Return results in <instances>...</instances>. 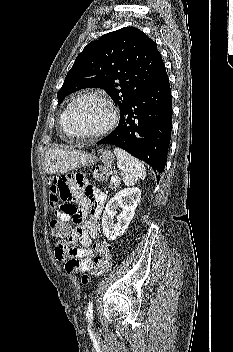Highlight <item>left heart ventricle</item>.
<instances>
[{
    "instance_id": "obj_1",
    "label": "left heart ventricle",
    "mask_w": 233,
    "mask_h": 352,
    "mask_svg": "<svg viewBox=\"0 0 233 352\" xmlns=\"http://www.w3.org/2000/svg\"><path fill=\"white\" fill-rule=\"evenodd\" d=\"M109 119V110L101 101L85 98L72 109L71 126L76 133H92L102 128Z\"/></svg>"
}]
</instances>
